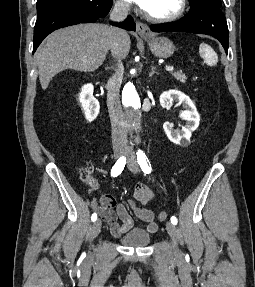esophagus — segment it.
<instances>
[{
	"label": "esophagus",
	"mask_w": 255,
	"mask_h": 287,
	"mask_svg": "<svg viewBox=\"0 0 255 287\" xmlns=\"http://www.w3.org/2000/svg\"><path fill=\"white\" fill-rule=\"evenodd\" d=\"M136 31L141 37H148L151 34V30L145 23L137 22Z\"/></svg>",
	"instance_id": "34e87169"
}]
</instances>
